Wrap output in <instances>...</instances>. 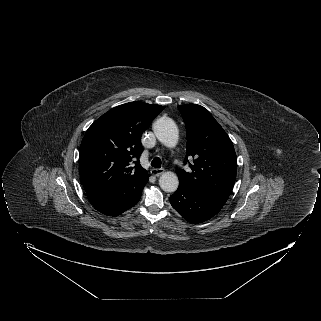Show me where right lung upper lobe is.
I'll return each mask as SVG.
<instances>
[{
    "label": "right lung upper lobe",
    "mask_w": 321,
    "mask_h": 321,
    "mask_svg": "<svg viewBox=\"0 0 321 321\" xmlns=\"http://www.w3.org/2000/svg\"><path fill=\"white\" fill-rule=\"evenodd\" d=\"M163 109L129 102L109 110L88 128L80 145L79 169L92 204L122 203L141 194L149 177L139 162L141 133Z\"/></svg>",
    "instance_id": "cb5924a9"
}]
</instances>
